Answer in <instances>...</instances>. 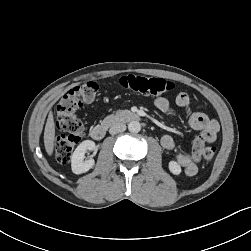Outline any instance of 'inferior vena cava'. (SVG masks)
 <instances>
[{
  "mask_svg": "<svg viewBox=\"0 0 251 251\" xmlns=\"http://www.w3.org/2000/svg\"><path fill=\"white\" fill-rule=\"evenodd\" d=\"M125 130H126V125L124 123L117 122L110 127L109 133L111 135H115Z\"/></svg>",
  "mask_w": 251,
  "mask_h": 251,
  "instance_id": "obj_1",
  "label": "inferior vena cava"
}]
</instances>
